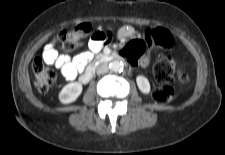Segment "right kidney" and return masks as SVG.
<instances>
[{"instance_id":"1","label":"right kidney","mask_w":225,"mask_h":155,"mask_svg":"<svg viewBox=\"0 0 225 155\" xmlns=\"http://www.w3.org/2000/svg\"><path fill=\"white\" fill-rule=\"evenodd\" d=\"M82 92V84L79 82L70 83L63 87L58 98L61 103L68 104L74 102Z\"/></svg>"}]
</instances>
